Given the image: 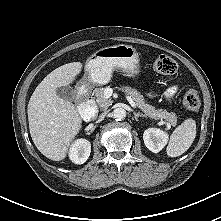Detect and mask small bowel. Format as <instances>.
<instances>
[{
	"instance_id": "c3829d8e",
	"label": "small bowel",
	"mask_w": 221,
	"mask_h": 221,
	"mask_svg": "<svg viewBox=\"0 0 221 221\" xmlns=\"http://www.w3.org/2000/svg\"><path fill=\"white\" fill-rule=\"evenodd\" d=\"M176 91H177V87L176 86H172L171 88H169L165 92V97L166 98H171L175 94Z\"/></svg>"
}]
</instances>
